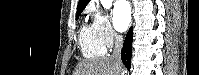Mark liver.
Segmentation results:
<instances>
[{"label":"liver","mask_w":199,"mask_h":75,"mask_svg":"<svg viewBox=\"0 0 199 75\" xmlns=\"http://www.w3.org/2000/svg\"><path fill=\"white\" fill-rule=\"evenodd\" d=\"M74 75H124L121 64L112 57L80 62Z\"/></svg>","instance_id":"1"}]
</instances>
